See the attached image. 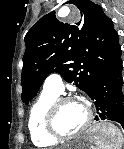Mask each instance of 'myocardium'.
I'll use <instances>...</instances> for the list:
<instances>
[{"label": "myocardium", "instance_id": "1", "mask_svg": "<svg viewBox=\"0 0 124 149\" xmlns=\"http://www.w3.org/2000/svg\"><path fill=\"white\" fill-rule=\"evenodd\" d=\"M70 101H81L87 108V118L84 125L79 130L70 134H65V133H62L57 128V115L60 107ZM92 121H93V108L89 102L72 96H64V97L57 98L48 108L46 117H45V128L47 133L51 137L57 139L58 141L60 140L66 141V140H71L73 138H76L82 135L83 133H85L91 126Z\"/></svg>", "mask_w": 124, "mask_h": 149}]
</instances>
